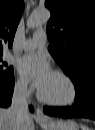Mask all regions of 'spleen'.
<instances>
[{
	"instance_id": "1",
	"label": "spleen",
	"mask_w": 95,
	"mask_h": 130,
	"mask_svg": "<svg viewBox=\"0 0 95 130\" xmlns=\"http://www.w3.org/2000/svg\"><path fill=\"white\" fill-rule=\"evenodd\" d=\"M81 130H90L87 126L81 125Z\"/></svg>"
}]
</instances>
